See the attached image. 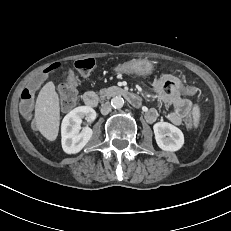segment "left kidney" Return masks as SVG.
Instances as JSON below:
<instances>
[{"mask_svg":"<svg viewBox=\"0 0 231 231\" xmlns=\"http://www.w3.org/2000/svg\"><path fill=\"white\" fill-rule=\"evenodd\" d=\"M156 143L164 151L175 152L182 148L184 135L176 126L168 122H158L153 126Z\"/></svg>","mask_w":231,"mask_h":231,"instance_id":"left-kidney-1","label":"left kidney"}]
</instances>
